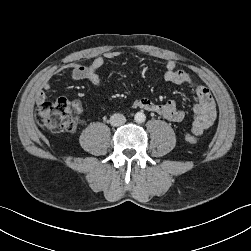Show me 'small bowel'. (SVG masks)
<instances>
[{
  "label": "small bowel",
  "instance_id": "c3829d8e",
  "mask_svg": "<svg viewBox=\"0 0 251 251\" xmlns=\"http://www.w3.org/2000/svg\"><path fill=\"white\" fill-rule=\"evenodd\" d=\"M117 56V52H107L104 56L94 58L88 65L71 64L68 66L70 78L73 81L86 80L94 86H100L101 78L98 71L104 65L105 59H114ZM165 67V81L176 85L188 86L195 93L197 102L193 107L192 132L196 135L202 134L204 130L214 123L217 116L216 104L210 91L203 84L194 81L187 72L177 69V64L174 60H167ZM52 86L53 83L48 78L41 82V91L36 95L38 103L45 101L46 96L43 91L51 89ZM73 103L79 108V103L77 101ZM133 106L159 114L172 122H183L187 118L186 112L179 108L174 100L157 104L149 98L142 97L135 100Z\"/></svg>",
  "mask_w": 251,
  "mask_h": 251
}]
</instances>
